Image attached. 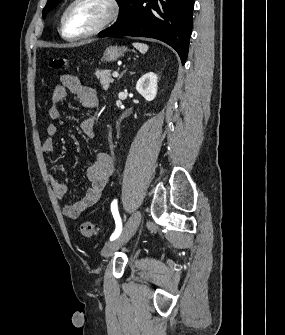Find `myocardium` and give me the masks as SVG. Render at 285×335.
I'll return each mask as SVG.
<instances>
[{
    "mask_svg": "<svg viewBox=\"0 0 285 335\" xmlns=\"http://www.w3.org/2000/svg\"><path fill=\"white\" fill-rule=\"evenodd\" d=\"M84 2L100 3L108 9V14L106 18L95 27L90 29H82L78 32H75L72 36V38L74 39L89 37L102 32L118 18L120 13V7L118 1H72L66 12V19L69 24L73 25L72 19H73L74 8L78 4Z\"/></svg>",
    "mask_w": 285,
    "mask_h": 335,
    "instance_id": "myocardium-1",
    "label": "myocardium"
}]
</instances>
